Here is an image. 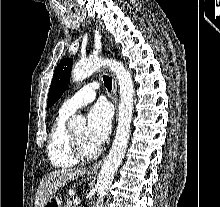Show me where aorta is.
Here are the masks:
<instances>
[{
    "label": "aorta",
    "instance_id": "aorta-1",
    "mask_svg": "<svg viewBox=\"0 0 220 207\" xmlns=\"http://www.w3.org/2000/svg\"><path fill=\"white\" fill-rule=\"evenodd\" d=\"M105 66L109 67L118 79L120 102L115 139L98 175L96 184L98 199L96 207H102L109 186L122 162L128 146L133 116L134 84L130 72L125 69L121 62L115 59L91 57L86 61L76 63L72 70L73 81L81 82ZM82 125H85V118L81 116H73L68 122L70 128Z\"/></svg>",
    "mask_w": 220,
    "mask_h": 207
}]
</instances>
